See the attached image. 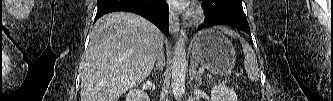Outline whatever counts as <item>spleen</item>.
Returning <instances> with one entry per match:
<instances>
[{
    "label": "spleen",
    "instance_id": "obj_1",
    "mask_svg": "<svg viewBox=\"0 0 333 101\" xmlns=\"http://www.w3.org/2000/svg\"><path fill=\"white\" fill-rule=\"evenodd\" d=\"M217 29L222 30L225 34L233 37V38H239L240 42L242 44L243 52L245 55L244 59V66L245 70L247 72L248 78L251 81H258L259 80V68L257 63L256 55L252 49V47L245 41L244 38L240 37L238 33L235 31H232L226 27H216Z\"/></svg>",
    "mask_w": 333,
    "mask_h": 101
}]
</instances>
